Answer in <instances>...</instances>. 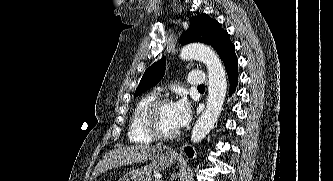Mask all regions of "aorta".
I'll return each instance as SVG.
<instances>
[{"label":"aorta","instance_id":"1","mask_svg":"<svg viewBox=\"0 0 333 181\" xmlns=\"http://www.w3.org/2000/svg\"><path fill=\"white\" fill-rule=\"evenodd\" d=\"M180 57L183 60L201 61L206 65L208 72L207 105L196 121L191 134V141L198 143L211 131L221 113L227 89L226 73L219 56L206 45H187L182 48Z\"/></svg>","mask_w":333,"mask_h":181}]
</instances>
